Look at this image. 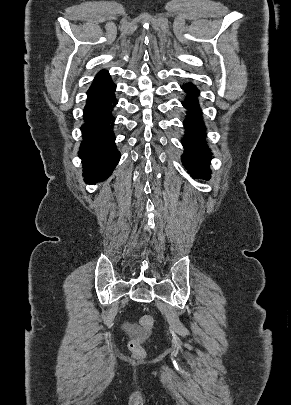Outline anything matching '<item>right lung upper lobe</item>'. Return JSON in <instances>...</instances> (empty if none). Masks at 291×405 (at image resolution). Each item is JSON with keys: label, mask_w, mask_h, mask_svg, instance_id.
I'll use <instances>...</instances> for the list:
<instances>
[{"label": "right lung upper lobe", "mask_w": 291, "mask_h": 405, "mask_svg": "<svg viewBox=\"0 0 291 405\" xmlns=\"http://www.w3.org/2000/svg\"><path fill=\"white\" fill-rule=\"evenodd\" d=\"M104 74H107V71L102 70V71H100V72L97 74L96 77L102 76V75H104Z\"/></svg>", "instance_id": "obj_1"}]
</instances>
